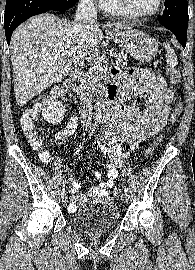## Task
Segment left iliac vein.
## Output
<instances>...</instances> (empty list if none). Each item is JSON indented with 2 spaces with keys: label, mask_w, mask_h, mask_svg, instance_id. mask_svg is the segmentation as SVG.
I'll use <instances>...</instances> for the list:
<instances>
[{
  "label": "left iliac vein",
  "mask_w": 195,
  "mask_h": 270,
  "mask_svg": "<svg viewBox=\"0 0 195 270\" xmlns=\"http://www.w3.org/2000/svg\"><path fill=\"white\" fill-rule=\"evenodd\" d=\"M121 200L125 203V204H128L129 202V195L127 193H123L122 196H121Z\"/></svg>",
  "instance_id": "1"
}]
</instances>
